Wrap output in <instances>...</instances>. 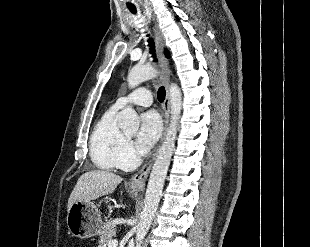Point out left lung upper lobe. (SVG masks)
Instances as JSON below:
<instances>
[{
	"mask_svg": "<svg viewBox=\"0 0 310 247\" xmlns=\"http://www.w3.org/2000/svg\"><path fill=\"white\" fill-rule=\"evenodd\" d=\"M165 56H166L167 58H169V53H168L167 50H165Z\"/></svg>",
	"mask_w": 310,
	"mask_h": 247,
	"instance_id": "obj_1",
	"label": "left lung upper lobe"
}]
</instances>
